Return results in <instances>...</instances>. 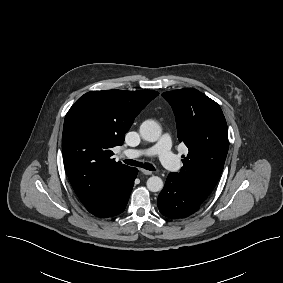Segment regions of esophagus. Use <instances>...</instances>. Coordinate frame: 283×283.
Listing matches in <instances>:
<instances>
[{
    "instance_id": "34e87169",
    "label": "esophagus",
    "mask_w": 283,
    "mask_h": 283,
    "mask_svg": "<svg viewBox=\"0 0 283 283\" xmlns=\"http://www.w3.org/2000/svg\"><path fill=\"white\" fill-rule=\"evenodd\" d=\"M140 171L145 175H151L152 171L146 170V169H140Z\"/></svg>"
}]
</instances>
